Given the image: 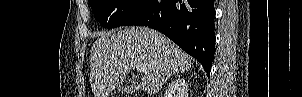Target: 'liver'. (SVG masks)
<instances>
[{
  "label": "liver",
  "mask_w": 302,
  "mask_h": 97,
  "mask_svg": "<svg viewBox=\"0 0 302 97\" xmlns=\"http://www.w3.org/2000/svg\"><path fill=\"white\" fill-rule=\"evenodd\" d=\"M144 65L141 88L157 93L172 75L191 68L190 57L162 33L146 27H127L99 34L90 57L94 97H109L132 68Z\"/></svg>",
  "instance_id": "6515ba94"
}]
</instances>
